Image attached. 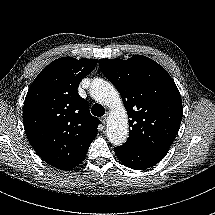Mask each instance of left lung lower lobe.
<instances>
[{
    "instance_id": "1",
    "label": "left lung lower lobe",
    "mask_w": 215,
    "mask_h": 215,
    "mask_svg": "<svg viewBox=\"0 0 215 215\" xmlns=\"http://www.w3.org/2000/svg\"><path fill=\"white\" fill-rule=\"evenodd\" d=\"M115 154L118 159L127 167L142 170L154 166L166 155L164 151H138L128 149L124 146L115 147Z\"/></svg>"
}]
</instances>
